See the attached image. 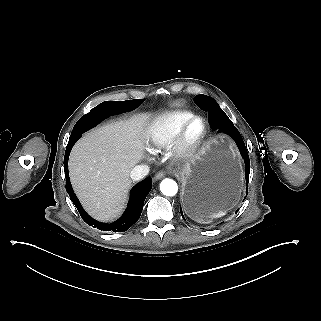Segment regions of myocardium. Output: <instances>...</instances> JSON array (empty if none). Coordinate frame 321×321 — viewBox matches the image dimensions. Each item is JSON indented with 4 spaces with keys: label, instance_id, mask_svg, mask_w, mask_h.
Segmentation results:
<instances>
[{
    "label": "myocardium",
    "instance_id": "f54148a6",
    "mask_svg": "<svg viewBox=\"0 0 321 321\" xmlns=\"http://www.w3.org/2000/svg\"><path fill=\"white\" fill-rule=\"evenodd\" d=\"M195 122H200L201 130L195 139L189 140L186 137V133L189 127ZM207 133V125L203 118L194 115L188 118L178 127L170 142L169 149L171 157L181 162L190 160L200 151L207 137Z\"/></svg>",
    "mask_w": 321,
    "mask_h": 321
}]
</instances>
